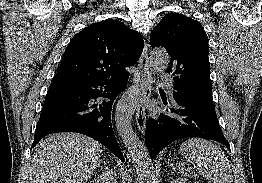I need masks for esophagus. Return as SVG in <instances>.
Segmentation results:
<instances>
[{
	"label": "esophagus",
	"instance_id": "esophagus-1",
	"mask_svg": "<svg viewBox=\"0 0 262 183\" xmlns=\"http://www.w3.org/2000/svg\"><path fill=\"white\" fill-rule=\"evenodd\" d=\"M151 76V71L149 67V58H148V45L147 43L144 44V49L142 55L138 61L137 70L135 71L132 81L134 84H138L141 81L149 78ZM151 94V87L150 85H145V89L143 95L140 99V102L136 109V124L138 129L141 132H144L146 126V101L149 99Z\"/></svg>",
	"mask_w": 262,
	"mask_h": 183
}]
</instances>
